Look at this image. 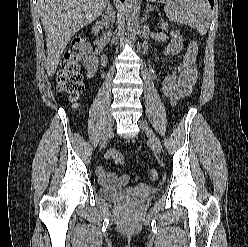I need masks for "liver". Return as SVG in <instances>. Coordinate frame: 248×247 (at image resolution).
I'll return each instance as SVG.
<instances>
[{
  "label": "liver",
  "instance_id": "obj_1",
  "mask_svg": "<svg viewBox=\"0 0 248 247\" xmlns=\"http://www.w3.org/2000/svg\"><path fill=\"white\" fill-rule=\"evenodd\" d=\"M109 0H38L47 42L46 70L53 76L61 55L80 29L96 20Z\"/></svg>",
  "mask_w": 248,
  "mask_h": 247
}]
</instances>
